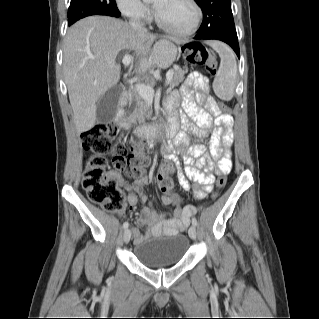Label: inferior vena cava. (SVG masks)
Listing matches in <instances>:
<instances>
[{
	"label": "inferior vena cava",
	"instance_id": "1",
	"mask_svg": "<svg viewBox=\"0 0 319 319\" xmlns=\"http://www.w3.org/2000/svg\"><path fill=\"white\" fill-rule=\"evenodd\" d=\"M129 24L134 30L146 31L145 27H143V24H141L140 21H138L136 19H131L129 21Z\"/></svg>",
	"mask_w": 319,
	"mask_h": 319
}]
</instances>
